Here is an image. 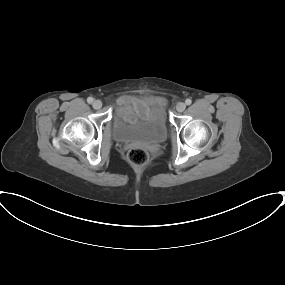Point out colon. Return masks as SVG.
<instances>
[{
    "label": "colon",
    "mask_w": 285,
    "mask_h": 285,
    "mask_svg": "<svg viewBox=\"0 0 285 285\" xmlns=\"http://www.w3.org/2000/svg\"><path fill=\"white\" fill-rule=\"evenodd\" d=\"M127 158L132 165L139 167L147 163L149 155L145 149L136 147L128 151Z\"/></svg>",
    "instance_id": "obj_1"
}]
</instances>
